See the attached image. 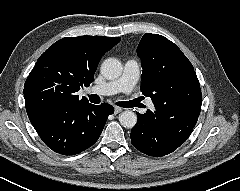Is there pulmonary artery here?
<instances>
[{
    "label": "pulmonary artery",
    "mask_w": 240,
    "mask_h": 191,
    "mask_svg": "<svg viewBox=\"0 0 240 191\" xmlns=\"http://www.w3.org/2000/svg\"><path fill=\"white\" fill-rule=\"evenodd\" d=\"M139 75V63L135 59H130L125 62L123 73L119 78L100 86H94L91 91L101 95H112L119 92L129 94L137 84ZM147 105L153 109L151 101H147Z\"/></svg>",
    "instance_id": "1"
}]
</instances>
